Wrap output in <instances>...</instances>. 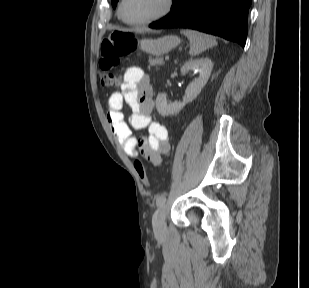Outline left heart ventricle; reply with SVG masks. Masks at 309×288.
Masks as SVG:
<instances>
[{
	"label": "left heart ventricle",
	"mask_w": 309,
	"mask_h": 288,
	"mask_svg": "<svg viewBox=\"0 0 309 288\" xmlns=\"http://www.w3.org/2000/svg\"><path fill=\"white\" fill-rule=\"evenodd\" d=\"M164 0H126L123 15L129 21H141L159 13Z\"/></svg>",
	"instance_id": "obj_1"
}]
</instances>
